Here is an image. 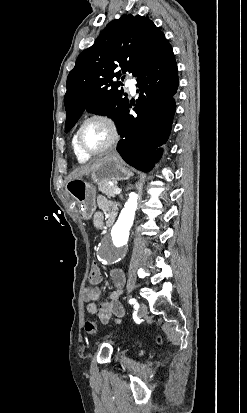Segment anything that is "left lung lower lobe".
I'll use <instances>...</instances> for the list:
<instances>
[{"label":"left lung lower lobe","mask_w":247,"mask_h":413,"mask_svg":"<svg viewBox=\"0 0 247 413\" xmlns=\"http://www.w3.org/2000/svg\"><path fill=\"white\" fill-rule=\"evenodd\" d=\"M140 97L133 110L118 128L121 137L117 150L131 166L149 171L162 153L159 148L166 143L176 110L175 94L178 89V70L172 47L160 51L147 68L136 77Z\"/></svg>","instance_id":"1"}]
</instances>
